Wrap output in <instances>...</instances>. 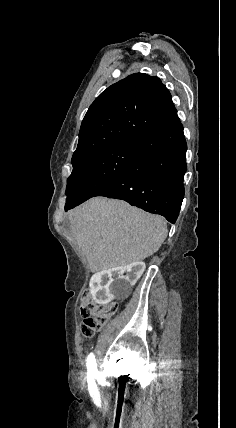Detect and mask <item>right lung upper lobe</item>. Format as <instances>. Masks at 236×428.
Segmentation results:
<instances>
[{"mask_svg": "<svg viewBox=\"0 0 236 428\" xmlns=\"http://www.w3.org/2000/svg\"><path fill=\"white\" fill-rule=\"evenodd\" d=\"M176 113L159 78L132 74L108 87L91 104L81 124L72 164L120 142L138 140Z\"/></svg>", "mask_w": 236, "mask_h": 428, "instance_id": "1", "label": "right lung upper lobe"}]
</instances>
